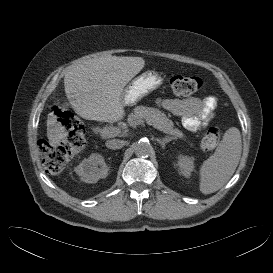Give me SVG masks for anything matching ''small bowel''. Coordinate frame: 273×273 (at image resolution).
<instances>
[{
	"instance_id": "1",
	"label": "small bowel",
	"mask_w": 273,
	"mask_h": 273,
	"mask_svg": "<svg viewBox=\"0 0 273 273\" xmlns=\"http://www.w3.org/2000/svg\"><path fill=\"white\" fill-rule=\"evenodd\" d=\"M157 106L180 117L187 130L198 132L214 119L217 99L214 96L182 100L160 98L157 100Z\"/></svg>"
}]
</instances>
